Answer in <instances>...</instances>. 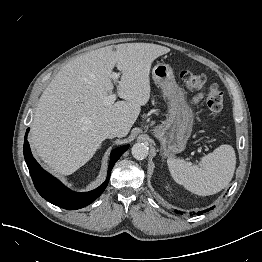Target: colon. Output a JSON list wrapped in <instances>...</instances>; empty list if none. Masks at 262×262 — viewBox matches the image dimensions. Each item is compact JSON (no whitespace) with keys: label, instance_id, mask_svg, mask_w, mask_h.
<instances>
[{"label":"colon","instance_id":"colon-1","mask_svg":"<svg viewBox=\"0 0 262 262\" xmlns=\"http://www.w3.org/2000/svg\"><path fill=\"white\" fill-rule=\"evenodd\" d=\"M180 77L189 90L200 91L207 89L206 105L210 117L215 119L224 104V93L221 89L216 84L208 85L206 76L199 72L184 70L180 73Z\"/></svg>","mask_w":262,"mask_h":262}]
</instances>
